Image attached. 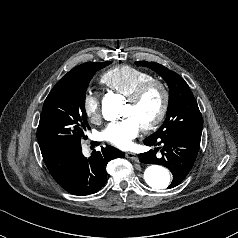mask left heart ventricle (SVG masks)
I'll return each mask as SVG.
<instances>
[{
    "label": "left heart ventricle",
    "instance_id": "1",
    "mask_svg": "<svg viewBox=\"0 0 238 238\" xmlns=\"http://www.w3.org/2000/svg\"><path fill=\"white\" fill-rule=\"evenodd\" d=\"M161 92L152 88L137 105L128 102L123 111V117H133L140 126L150 122L158 113L161 104Z\"/></svg>",
    "mask_w": 238,
    "mask_h": 238
}]
</instances>
